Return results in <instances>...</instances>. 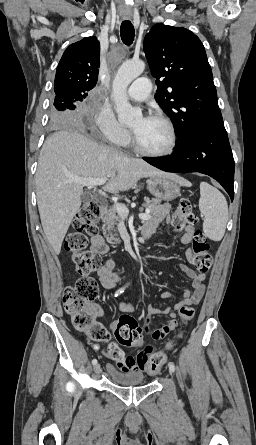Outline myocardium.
<instances>
[{
    "label": "myocardium",
    "instance_id": "obj_1",
    "mask_svg": "<svg viewBox=\"0 0 256 445\" xmlns=\"http://www.w3.org/2000/svg\"><path fill=\"white\" fill-rule=\"evenodd\" d=\"M146 119L159 121L167 127L169 134H170L169 145L163 151L147 150L139 143L135 134L132 132L131 133V142H132V146L134 147V149L137 152H139L140 154H142L144 156H148V157L162 158V157H167V156L171 155L177 146V132H176L175 126L172 123V121L168 117L161 115V114H150L146 117Z\"/></svg>",
    "mask_w": 256,
    "mask_h": 445
}]
</instances>
